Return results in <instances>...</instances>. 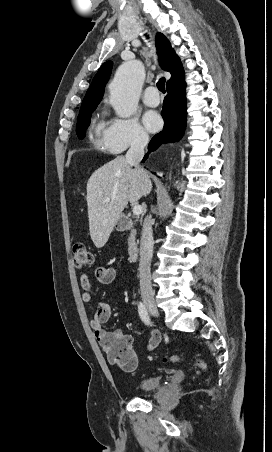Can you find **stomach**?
I'll return each mask as SVG.
<instances>
[{
  "instance_id": "obj_1",
  "label": "stomach",
  "mask_w": 272,
  "mask_h": 452,
  "mask_svg": "<svg viewBox=\"0 0 272 452\" xmlns=\"http://www.w3.org/2000/svg\"><path fill=\"white\" fill-rule=\"evenodd\" d=\"M118 226H120V222H117Z\"/></svg>"
}]
</instances>
